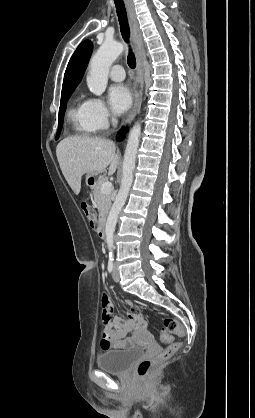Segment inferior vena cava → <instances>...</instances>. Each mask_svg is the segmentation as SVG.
Segmentation results:
<instances>
[{"label":"inferior vena cava","mask_w":255,"mask_h":418,"mask_svg":"<svg viewBox=\"0 0 255 418\" xmlns=\"http://www.w3.org/2000/svg\"><path fill=\"white\" fill-rule=\"evenodd\" d=\"M112 124H113L114 126H116V125H117V119H116V118H113V119H112Z\"/></svg>","instance_id":"inferior-vena-cava-1"}]
</instances>
